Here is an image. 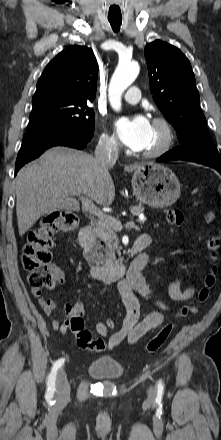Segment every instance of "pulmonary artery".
Returning <instances> with one entry per match:
<instances>
[{
  "mask_svg": "<svg viewBox=\"0 0 221 440\" xmlns=\"http://www.w3.org/2000/svg\"><path fill=\"white\" fill-rule=\"evenodd\" d=\"M140 90L138 87H131L124 95L123 98L129 103H137L140 100Z\"/></svg>",
  "mask_w": 221,
  "mask_h": 440,
  "instance_id": "pulmonary-artery-1",
  "label": "pulmonary artery"
}]
</instances>
